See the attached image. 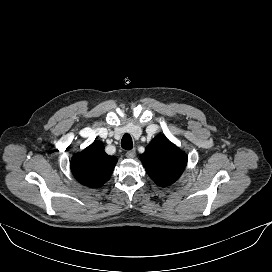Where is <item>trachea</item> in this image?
Wrapping results in <instances>:
<instances>
[{
	"mask_svg": "<svg viewBox=\"0 0 272 272\" xmlns=\"http://www.w3.org/2000/svg\"><path fill=\"white\" fill-rule=\"evenodd\" d=\"M121 147L125 150H131L133 148L132 138L129 134H124L121 140Z\"/></svg>",
	"mask_w": 272,
	"mask_h": 272,
	"instance_id": "trachea-1",
	"label": "trachea"
}]
</instances>
